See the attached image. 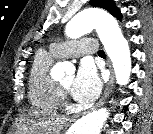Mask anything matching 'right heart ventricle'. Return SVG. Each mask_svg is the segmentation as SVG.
<instances>
[{
  "label": "right heart ventricle",
  "mask_w": 153,
  "mask_h": 134,
  "mask_svg": "<svg viewBox=\"0 0 153 134\" xmlns=\"http://www.w3.org/2000/svg\"><path fill=\"white\" fill-rule=\"evenodd\" d=\"M56 58L51 51L39 50L33 59L29 73V99L37 107L58 109L63 103L59 83L49 74Z\"/></svg>",
  "instance_id": "e07e8e85"
}]
</instances>
